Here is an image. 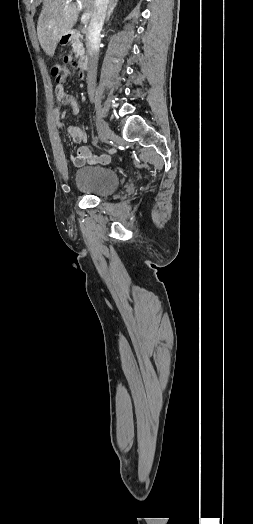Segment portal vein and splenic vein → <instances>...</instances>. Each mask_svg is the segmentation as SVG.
I'll use <instances>...</instances> for the list:
<instances>
[{
    "label": "portal vein and splenic vein",
    "mask_w": 253,
    "mask_h": 524,
    "mask_svg": "<svg viewBox=\"0 0 253 524\" xmlns=\"http://www.w3.org/2000/svg\"><path fill=\"white\" fill-rule=\"evenodd\" d=\"M90 19V13H84L81 17V22L82 23H87Z\"/></svg>",
    "instance_id": "18ae733b"
}]
</instances>
